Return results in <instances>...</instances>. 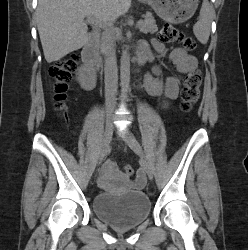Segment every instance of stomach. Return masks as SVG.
I'll return each mask as SVG.
<instances>
[{
    "label": "stomach",
    "mask_w": 248,
    "mask_h": 250,
    "mask_svg": "<svg viewBox=\"0 0 248 250\" xmlns=\"http://www.w3.org/2000/svg\"><path fill=\"white\" fill-rule=\"evenodd\" d=\"M148 3L163 20L178 24L190 19L197 7L198 0H142Z\"/></svg>",
    "instance_id": "0dacf381"
}]
</instances>
